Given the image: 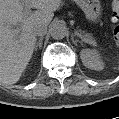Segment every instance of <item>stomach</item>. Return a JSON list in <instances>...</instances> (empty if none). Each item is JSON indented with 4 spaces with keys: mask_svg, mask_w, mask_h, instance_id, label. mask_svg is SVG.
Instances as JSON below:
<instances>
[{
    "mask_svg": "<svg viewBox=\"0 0 119 119\" xmlns=\"http://www.w3.org/2000/svg\"><path fill=\"white\" fill-rule=\"evenodd\" d=\"M83 10L86 18L92 22L98 21L101 16L100 0H74Z\"/></svg>",
    "mask_w": 119,
    "mask_h": 119,
    "instance_id": "0dacf381",
    "label": "stomach"
}]
</instances>
